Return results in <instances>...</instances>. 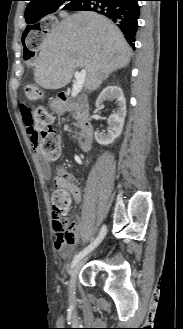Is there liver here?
I'll list each match as a JSON object with an SVG mask.
<instances>
[{"label":"liver","instance_id":"1","mask_svg":"<svg viewBox=\"0 0 183 329\" xmlns=\"http://www.w3.org/2000/svg\"><path fill=\"white\" fill-rule=\"evenodd\" d=\"M132 49L106 17L83 11L66 16L42 43L36 82L46 89L66 86L76 69H86L85 87L97 89L113 71L130 62Z\"/></svg>","mask_w":183,"mask_h":329}]
</instances>
